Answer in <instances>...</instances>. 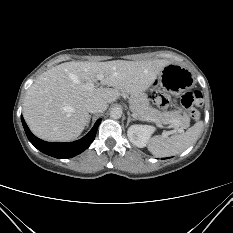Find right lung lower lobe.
Returning <instances> with one entry per match:
<instances>
[{
  "label": "right lung lower lobe",
  "mask_w": 233,
  "mask_h": 233,
  "mask_svg": "<svg viewBox=\"0 0 233 233\" xmlns=\"http://www.w3.org/2000/svg\"><path fill=\"white\" fill-rule=\"evenodd\" d=\"M21 120L29 141L41 152L59 159L74 157L87 149L95 139L97 128L101 122V119H98L91 131L77 141L68 143H52L43 141L34 136L22 116Z\"/></svg>",
  "instance_id": "98d812e1"
}]
</instances>
